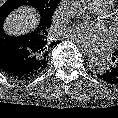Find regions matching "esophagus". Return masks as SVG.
I'll list each match as a JSON object with an SVG mask.
<instances>
[{"label": "esophagus", "mask_w": 118, "mask_h": 118, "mask_svg": "<svg viewBox=\"0 0 118 118\" xmlns=\"http://www.w3.org/2000/svg\"><path fill=\"white\" fill-rule=\"evenodd\" d=\"M82 52L84 53L85 56L93 57V54L90 51L86 50V49H82Z\"/></svg>", "instance_id": "34e87169"}]
</instances>
